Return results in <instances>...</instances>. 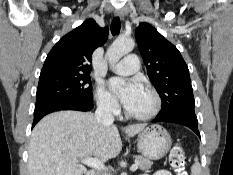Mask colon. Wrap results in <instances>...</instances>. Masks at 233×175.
<instances>
[{
    "label": "colon",
    "mask_w": 233,
    "mask_h": 175,
    "mask_svg": "<svg viewBox=\"0 0 233 175\" xmlns=\"http://www.w3.org/2000/svg\"><path fill=\"white\" fill-rule=\"evenodd\" d=\"M186 154L184 147L176 143L169 154V164L174 170L175 175H188L185 170Z\"/></svg>",
    "instance_id": "5ec220e1"
}]
</instances>
